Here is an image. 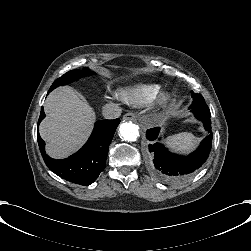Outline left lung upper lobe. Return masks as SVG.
<instances>
[{
  "label": "left lung upper lobe",
  "mask_w": 251,
  "mask_h": 251,
  "mask_svg": "<svg viewBox=\"0 0 251 251\" xmlns=\"http://www.w3.org/2000/svg\"><path fill=\"white\" fill-rule=\"evenodd\" d=\"M192 97H193L194 101H193V103H192V105L190 107L200 109V110H203V111H206V112H210V110H209L207 104L205 103V100H204L202 95L194 94L192 92Z\"/></svg>",
  "instance_id": "5c2ea615"
}]
</instances>
